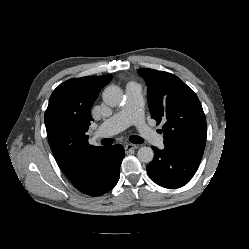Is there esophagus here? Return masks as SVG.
<instances>
[{"mask_svg": "<svg viewBox=\"0 0 249 249\" xmlns=\"http://www.w3.org/2000/svg\"><path fill=\"white\" fill-rule=\"evenodd\" d=\"M139 146L138 145H134V144H126L125 145V151L128 153L130 152L131 150H134V149H138Z\"/></svg>", "mask_w": 249, "mask_h": 249, "instance_id": "obj_1", "label": "esophagus"}]
</instances>
